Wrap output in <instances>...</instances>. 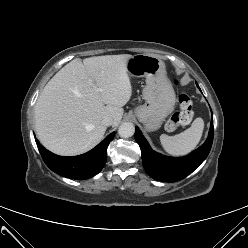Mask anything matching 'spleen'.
Wrapping results in <instances>:
<instances>
[{
  "instance_id": "obj_1",
  "label": "spleen",
  "mask_w": 248,
  "mask_h": 248,
  "mask_svg": "<svg viewBox=\"0 0 248 248\" xmlns=\"http://www.w3.org/2000/svg\"><path fill=\"white\" fill-rule=\"evenodd\" d=\"M204 129L202 118H196L191 127L174 136L162 134L160 141L164 150L174 156L186 155L194 150L199 143Z\"/></svg>"
}]
</instances>
